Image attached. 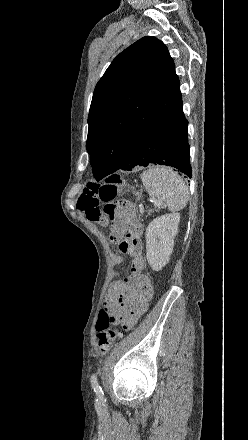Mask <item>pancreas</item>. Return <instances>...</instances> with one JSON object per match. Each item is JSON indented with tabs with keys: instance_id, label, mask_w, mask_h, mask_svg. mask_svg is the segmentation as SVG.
I'll list each match as a JSON object with an SVG mask.
<instances>
[{
	"instance_id": "pancreas-1",
	"label": "pancreas",
	"mask_w": 248,
	"mask_h": 440,
	"mask_svg": "<svg viewBox=\"0 0 248 440\" xmlns=\"http://www.w3.org/2000/svg\"><path fill=\"white\" fill-rule=\"evenodd\" d=\"M154 211V209H150L149 211H148V213L150 214V213H152Z\"/></svg>"
}]
</instances>
